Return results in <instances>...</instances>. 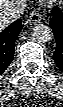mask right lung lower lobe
<instances>
[{"instance_id":"right-lung-lower-lobe-1","label":"right lung lower lobe","mask_w":63,"mask_h":107,"mask_svg":"<svg viewBox=\"0 0 63 107\" xmlns=\"http://www.w3.org/2000/svg\"><path fill=\"white\" fill-rule=\"evenodd\" d=\"M21 29V20L18 19L0 33V75L13 59L15 40Z\"/></svg>"}]
</instances>
